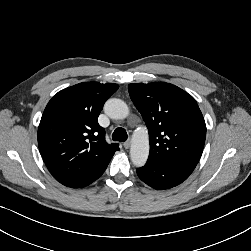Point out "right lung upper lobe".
<instances>
[{
  "mask_svg": "<svg viewBox=\"0 0 251 251\" xmlns=\"http://www.w3.org/2000/svg\"><path fill=\"white\" fill-rule=\"evenodd\" d=\"M117 84L84 82L55 94L39 127L38 145L53 177L71 187L94 179L106 169L118 144L105 141L98 116Z\"/></svg>",
  "mask_w": 251,
  "mask_h": 251,
  "instance_id": "cb5924a9",
  "label": "right lung upper lobe"
}]
</instances>
